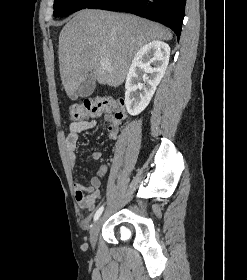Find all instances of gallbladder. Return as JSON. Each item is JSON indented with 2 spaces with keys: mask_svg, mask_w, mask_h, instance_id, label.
<instances>
[{
  "mask_svg": "<svg viewBox=\"0 0 247 280\" xmlns=\"http://www.w3.org/2000/svg\"><path fill=\"white\" fill-rule=\"evenodd\" d=\"M95 89V79L94 76L90 73L86 76L85 80L81 83L77 94L73 95L71 98L76 99L79 97H88L90 96Z\"/></svg>",
  "mask_w": 247,
  "mask_h": 280,
  "instance_id": "obj_1",
  "label": "gallbladder"
}]
</instances>
